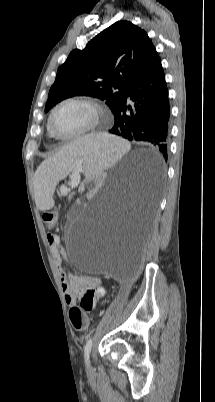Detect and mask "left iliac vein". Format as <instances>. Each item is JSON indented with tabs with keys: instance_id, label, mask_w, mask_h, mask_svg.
I'll list each match as a JSON object with an SVG mask.
<instances>
[{
	"instance_id": "left-iliac-vein-1",
	"label": "left iliac vein",
	"mask_w": 215,
	"mask_h": 402,
	"mask_svg": "<svg viewBox=\"0 0 215 402\" xmlns=\"http://www.w3.org/2000/svg\"><path fill=\"white\" fill-rule=\"evenodd\" d=\"M87 367L90 368V364L87 363Z\"/></svg>"
}]
</instances>
